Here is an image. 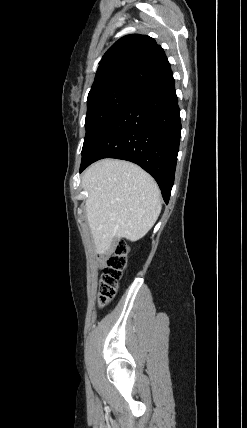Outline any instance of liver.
<instances>
[{
    "mask_svg": "<svg viewBox=\"0 0 247 428\" xmlns=\"http://www.w3.org/2000/svg\"><path fill=\"white\" fill-rule=\"evenodd\" d=\"M86 215L96 252L105 254L114 238L137 241L155 224L162 209L160 190L139 166L105 159L83 174Z\"/></svg>",
    "mask_w": 247,
    "mask_h": 428,
    "instance_id": "liver-1",
    "label": "liver"
}]
</instances>
